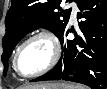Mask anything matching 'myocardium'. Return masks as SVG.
I'll list each match as a JSON object with an SVG mask.
<instances>
[{"instance_id": "obj_1", "label": "myocardium", "mask_w": 107, "mask_h": 89, "mask_svg": "<svg viewBox=\"0 0 107 89\" xmlns=\"http://www.w3.org/2000/svg\"><path fill=\"white\" fill-rule=\"evenodd\" d=\"M40 37L47 39L51 44V47H52L51 60L48 63V65L46 67H44L43 69H41L37 72L31 73V74H23V73L20 72V70L18 68L19 54H20L21 50L23 49V47L28 42H30L33 39L40 38ZM60 56H61V45H60V42H59L58 38L52 32H50L48 30H38V31L30 34L27 38H25L21 42V44L17 47V49L15 51V54H14V57H13V68L16 71V73L21 77H24V78L37 77V76L43 75L46 72L53 69L55 67V65L58 63V61L60 59Z\"/></svg>"}]
</instances>
